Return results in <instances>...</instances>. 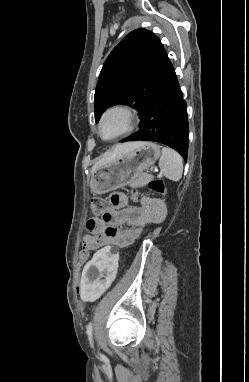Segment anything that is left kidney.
I'll use <instances>...</instances> for the list:
<instances>
[{"label":"left kidney","instance_id":"obj_1","mask_svg":"<svg viewBox=\"0 0 249 382\" xmlns=\"http://www.w3.org/2000/svg\"><path fill=\"white\" fill-rule=\"evenodd\" d=\"M119 255L115 245H103L102 250H95L79 277L78 301L97 302L101 293L112 288L115 277H119Z\"/></svg>","mask_w":249,"mask_h":382}]
</instances>
